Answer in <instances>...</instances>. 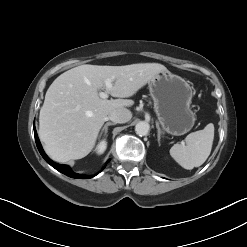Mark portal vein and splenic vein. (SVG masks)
<instances>
[{"label": "portal vein and splenic vein", "instance_id": "1", "mask_svg": "<svg viewBox=\"0 0 247 247\" xmlns=\"http://www.w3.org/2000/svg\"><path fill=\"white\" fill-rule=\"evenodd\" d=\"M106 90L104 92H100L99 96L103 99L108 98L109 90L112 88V79L105 80Z\"/></svg>", "mask_w": 247, "mask_h": 247}]
</instances>
